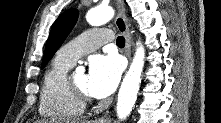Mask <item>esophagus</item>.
<instances>
[{
  "label": "esophagus",
  "mask_w": 221,
  "mask_h": 123,
  "mask_svg": "<svg viewBox=\"0 0 221 123\" xmlns=\"http://www.w3.org/2000/svg\"><path fill=\"white\" fill-rule=\"evenodd\" d=\"M117 7V16L115 19V25L117 29L124 35L126 44H125V54L128 58V60H131V36L130 31L127 23V16H126V9L124 7V4L121 0H118L116 2ZM106 116V114H105ZM104 116V117H105ZM104 117L100 121H103Z\"/></svg>",
  "instance_id": "1"
}]
</instances>
